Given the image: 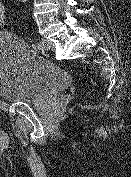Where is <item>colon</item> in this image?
<instances>
[{
	"label": "colon",
	"instance_id": "obj_1",
	"mask_svg": "<svg viewBox=\"0 0 131 177\" xmlns=\"http://www.w3.org/2000/svg\"><path fill=\"white\" fill-rule=\"evenodd\" d=\"M5 18H6L5 5L4 2L0 0V25H4Z\"/></svg>",
	"mask_w": 131,
	"mask_h": 177
}]
</instances>
